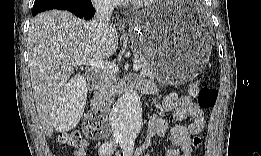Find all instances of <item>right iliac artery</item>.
<instances>
[{
    "mask_svg": "<svg viewBox=\"0 0 261 156\" xmlns=\"http://www.w3.org/2000/svg\"><path fill=\"white\" fill-rule=\"evenodd\" d=\"M118 142H120L118 139H114L110 142L103 143L99 148V154L103 156L112 155Z\"/></svg>",
    "mask_w": 261,
    "mask_h": 156,
    "instance_id": "right-iliac-artery-1",
    "label": "right iliac artery"
}]
</instances>
